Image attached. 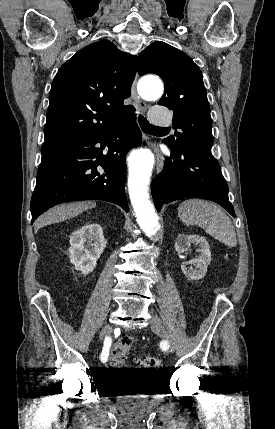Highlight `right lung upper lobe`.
<instances>
[{
  "label": "right lung upper lobe",
  "mask_w": 275,
  "mask_h": 429,
  "mask_svg": "<svg viewBox=\"0 0 275 429\" xmlns=\"http://www.w3.org/2000/svg\"><path fill=\"white\" fill-rule=\"evenodd\" d=\"M137 57L109 40L78 51L58 70L49 94L42 154L135 117L125 106L136 74Z\"/></svg>",
  "instance_id": "1"
}]
</instances>
